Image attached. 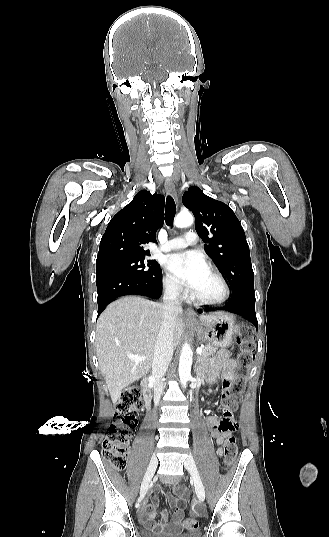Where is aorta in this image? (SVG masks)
Segmentation results:
<instances>
[{"instance_id": "aorta-1", "label": "aorta", "mask_w": 329, "mask_h": 537, "mask_svg": "<svg viewBox=\"0 0 329 537\" xmlns=\"http://www.w3.org/2000/svg\"><path fill=\"white\" fill-rule=\"evenodd\" d=\"M194 218L188 212H180L174 219V225L178 228L189 227L193 224ZM192 349L188 343H184L179 358V377L184 388L191 377Z\"/></svg>"}]
</instances>
